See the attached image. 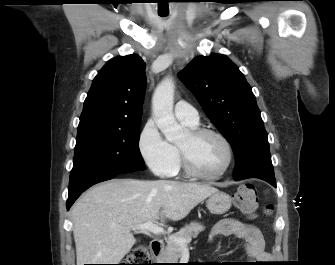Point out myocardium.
<instances>
[{
  "label": "myocardium",
  "mask_w": 335,
  "mask_h": 265,
  "mask_svg": "<svg viewBox=\"0 0 335 265\" xmlns=\"http://www.w3.org/2000/svg\"><path fill=\"white\" fill-rule=\"evenodd\" d=\"M188 134L190 135V137L193 140H198V139L203 138L205 136H214V137L218 138L223 143V145L225 146L226 153H227V158H226V162H225L224 166L221 168L220 171H218L215 174H204V173H201L200 171H198L193 166V164L191 163V160L188 156V153L181 146L178 145V151H179V154H180V159H181V163H182L184 171L189 176H191L195 179L205 180V181L218 180L222 176H224L226 174V172L229 170V168L231 167L233 159H234L233 147H232V144L230 143V141L228 140V138L225 135H223L222 133H220L216 130L207 129V128L193 129V130L189 131Z\"/></svg>",
  "instance_id": "myocardium-1"
}]
</instances>
